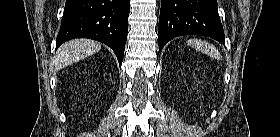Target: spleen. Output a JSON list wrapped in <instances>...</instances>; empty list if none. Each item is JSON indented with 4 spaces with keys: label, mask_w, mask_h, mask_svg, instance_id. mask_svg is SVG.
<instances>
[{
    "label": "spleen",
    "mask_w": 280,
    "mask_h": 137,
    "mask_svg": "<svg viewBox=\"0 0 280 137\" xmlns=\"http://www.w3.org/2000/svg\"><path fill=\"white\" fill-rule=\"evenodd\" d=\"M188 45L217 60L221 59V55L219 54L218 50H216V48L207 41H203L201 39H191L188 41Z\"/></svg>",
    "instance_id": "1"
}]
</instances>
